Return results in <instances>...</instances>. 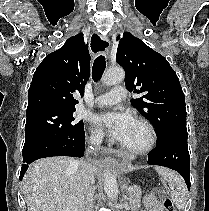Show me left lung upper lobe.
Returning a JSON list of instances; mask_svg holds the SVG:
<instances>
[{"label":"left lung upper lobe","instance_id":"obj_1","mask_svg":"<svg viewBox=\"0 0 209 211\" xmlns=\"http://www.w3.org/2000/svg\"><path fill=\"white\" fill-rule=\"evenodd\" d=\"M116 61L125 69L127 89L142 94L131 99V104L153 124L157 143L176 130L186 129L184 93L176 73L161 54L125 32Z\"/></svg>","mask_w":209,"mask_h":211}]
</instances>
